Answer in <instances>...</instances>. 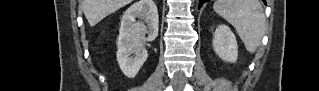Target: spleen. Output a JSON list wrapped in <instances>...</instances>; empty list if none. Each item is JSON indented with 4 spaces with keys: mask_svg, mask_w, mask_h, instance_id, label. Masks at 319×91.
<instances>
[{
    "mask_svg": "<svg viewBox=\"0 0 319 91\" xmlns=\"http://www.w3.org/2000/svg\"><path fill=\"white\" fill-rule=\"evenodd\" d=\"M213 9L236 29L246 50L254 53L266 28L261 3L258 0H218Z\"/></svg>",
    "mask_w": 319,
    "mask_h": 91,
    "instance_id": "spleen-1",
    "label": "spleen"
}]
</instances>
